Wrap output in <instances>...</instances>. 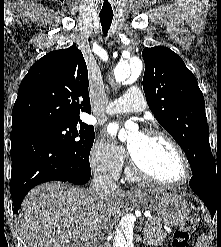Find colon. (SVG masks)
<instances>
[{
    "label": "colon",
    "instance_id": "colon-1",
    "mask_svg": "<svg viewBox=\"0 0 221 247\" xmlns=\"http://www.w3.org/2000/svg\"><path fill=\"white\" fill-rule=\"evenodd\" d=\"M196 225L197 220L195 218H188L183 226L175 232L172 247H189L190 233Z\"/></svg>",
    "mask_w": 221,
    "mask_h": 247
}]
</instances>
